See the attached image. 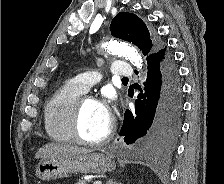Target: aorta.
<instances>
[{
	"mask_svg": "<svg viewBox=\"0 0 224 184\" xmlns=\"http://www.w3.org/2000/svg\"><path fill=\"white\" fill-rule=\"evenodd\" d=\"M103 47L110 52L118 53L125 56L131 63H133L138 68H141L143 65V61L140 54L131 45L116 40H110L108 42L103 43Z\"/></svg>",
	"mask_w": 224,
	"mask_h": 184,
	"instance_id": "1",
	"label": "aorta"
}]
</instances>
